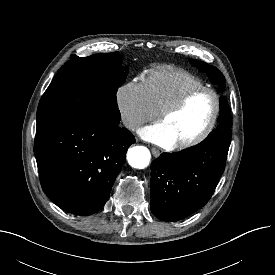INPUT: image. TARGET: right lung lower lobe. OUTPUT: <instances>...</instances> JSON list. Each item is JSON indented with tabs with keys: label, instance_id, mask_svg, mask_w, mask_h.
Returning <instances> with one entry per match:
<instances>
[{
	"label": "right lung lower lobe",
	"instance_id": "98d812e1",
	"mask_svg": "<svg viewBox=\"0 0 275 275\" xmlns=\"http://www.w3.org/2000/svg\"><path fill=\"white\" fill-rule=\"evenodd\" d=\"M119 123L78 115L36 132L34 153L44 193L75 215H91L109 199L135 138Z\"/></svg>",
	"mask_w": 275,
	"mask_h": 275
}]
</instances>
